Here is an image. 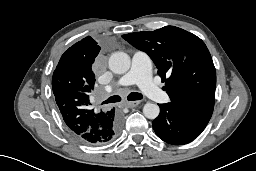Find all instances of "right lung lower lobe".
<instances>
[{"label": "right lung lower lobe", "mask_w": 256, "mask_h": 171, "mask_svg": "<svg viewBox=\"0 0 256 171\" xmlns=\"http://www.w3.org/2000/svg\"><path fill=\"white\" fill-rule=\"evenodd\" d=\"M121 116L115 112V108L111 109V115L106 117L102 123V128L96 133H84L77 138L82 142L90 145H100L109 142L113 139L121 127Z\"/></svg>", "instance_id": "98d812e1"}]
</instances>
